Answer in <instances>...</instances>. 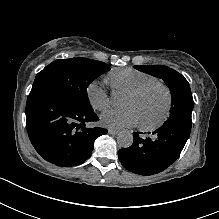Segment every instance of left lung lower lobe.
Returning a JSON list of instances; mask_svg holds the SVG:
<instances>
[{
	"instance_id": "1",
	"label": "left lung lower lobe",
	"mask_w": 219,
	"mask_h": 219,
	"mask_svg": "<svg viewBox=\"0 0 219 219\" xmlns=\"http://www.w3.org/2000/svg\"><path fill=\"white\" fill-rule=\"evenodd\" d=\"M191 131V124L171 121L144 138L134 132L133 144L119 150V160L129 171L140 175L157 174L179 157ZM150 134V132H149Z\"/></svg>"
}]
</instances>
